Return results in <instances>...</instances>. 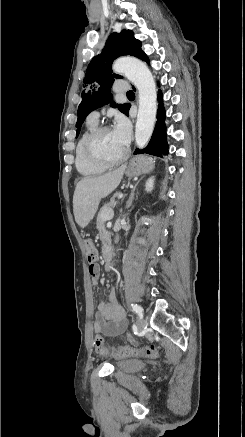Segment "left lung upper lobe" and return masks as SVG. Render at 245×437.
Wrapping results in <instances>:
<instances>
[{"mask_svg":"<svg viewBox=\"0 0 245 437\" xmlns=\"http://www.w3.org/2000/svg\"><path fill=\"white\" fill-rule=\"evenodd\" d=\"M141 41L134 38L131 30H123L121 33H112L106 41L101 54L94 57L88 65L86 76L83 80L84 91L81 94L82 101L78 106V120L76 123L77 134L86 116L93 110L111 103L112 107L127 114L130 104H116L112 102L111 86L114 78H122L112 73V62L123 55H132L140 58L144 52L141 49Z\"/></svg>","mask_w":245,"mask_h":437,"instance_id":"1","label":"left lung upper lobe"}]
</instances>
